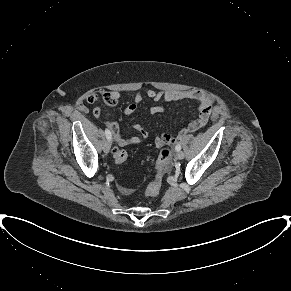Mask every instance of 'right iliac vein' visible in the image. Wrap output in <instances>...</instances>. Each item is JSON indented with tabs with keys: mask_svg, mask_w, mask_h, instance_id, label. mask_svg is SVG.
<instances>
[{
	"mask_svg": "<svg viewBox=\"0 0 291 291\" xmlns=\"http://www.w3.org/2000/svg\"><path fill=\"white\" fill-rule=\"evenodd\" d=\"M110 148H111L110 140L105 141L104 144H103V151L105 153H108L110 151Z\"/></svg>",
	"mask_w": 291,
	"mask_h": 291,
	"instance_id": "right-iliac-vein-1",
	"label": "right iliac vein"
}]
</instances>
